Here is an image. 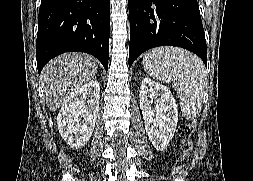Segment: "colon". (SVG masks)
I'll return each instance as SVG.
<instances>
[{
  "mask_svg": "<svg viewBox=\"0 0 253 181\" xmlns=\"http://www.w3.org/2000/svg\"><path fill=\"white\" fill-rule=\"evenodd\" d=\"M190 128L187 125H180L178 128V135L185 139V141L182 144V150L184 154H188L191 151V143L187 140V138L190 136Z\"/></svg>",
  "mask_w": 253,
  "mask_h": 181,
  "instance_id": "colon-1",
  "label": "colon"
}]
</instances>
